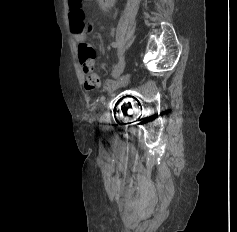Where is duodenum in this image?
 Here are the masks:
<instances>
[{
	"label": "duodenum",
	"instance_id": "duodenum-1",
	"mask_svg": "<svg viewBox=\"0 0 237 232\" xmlns=\"http://www.w3.org/2000/svg\"><path fill=\"white\" fill-rule=\"evenodd\" d=\"M115 0H100V3L103 7H110L114 4Z\"/></svg>",
	"mask_w": 237,
	"mask_h": 232
}]
</instances>
